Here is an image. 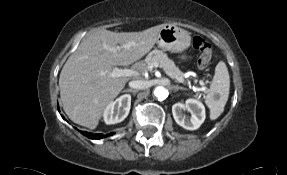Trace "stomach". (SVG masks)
I'll list each match as a JSON object with an SVG mask.
<instances>
[{
    "label": "stomach",
    "mask_w": 287,
    "mask_h": 175,
    "mask_svg": "<svg viewBox=\"0 0 287 175\" xmlns=\"http://www.w3.org/2000/svg\"><path fill=\"white\" fill-rule=\"evenodd\" d=\"M191 43L189 33L172 24H166L158 33L157 44L158 47L175 53H183L186 51ZM181 60H187V56L182 54Z\"/></svg>",
    "instance_id": "1"
}]
</instances>
